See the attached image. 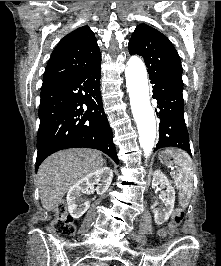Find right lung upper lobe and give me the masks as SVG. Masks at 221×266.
<instances>
[{
    "mask_svg": "<svg viewBox=\"0 0 221 266\" xmlns=\"http://www.w3.org/2000/svg\"><path fill=\"white\" fill-rule=\"evenodd\" d=\"M101 62L94 33L82 26L67 34L55 47L45 69L42 87H52Z\"/></svg>",
    "mask_w": 221,
    "mask_h": 266,
    "instance_id": "right-lung-upper-lobe-1",
    "label": "right lung upper lobe"
}]
</instances>
